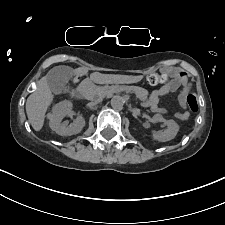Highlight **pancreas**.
I'll return each instance as SVG.
<instances>
[{
	"instance_id": "obj_1",
	"label": "pancreas",
	"mask_w": 225,
	"mask_h": 225,
	"mask_svg": "<svg viewBox=\"0 0 225 225\" xmlns=\"http://www.w3.org/2000/svg\"><path fill=\"white\" fill-rule=\"evenodd\" d=\"M127 91L130 93H134L137 98L141 101H146L149 95V92L138 86H100L95 88V92L99 95H107L114 92Z\"/></svg>"
}]
</instances>
